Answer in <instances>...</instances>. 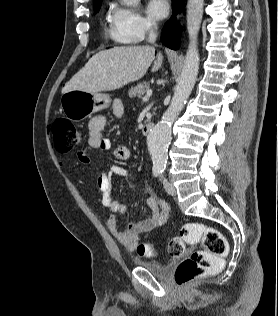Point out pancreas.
Wrapping results in <instances>:
<instances>
[{"label":"pancreas","instance_id":"1","mask_svg":"<svg viewBox=\"0 0 278 316\" xmlns=\"http://www.w3.org/2000/svg\"><path fill=\"white\" fill-rule=\"evenodd\" d=\"M149 89V83L143 82L138 83L136 86L131 87L128 94L130 98L138 97L140 98Z\"/></svg>","mask_w":278,"mask_h":316}]
</instances>
